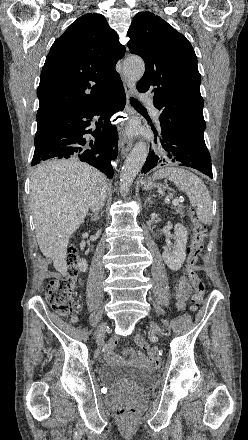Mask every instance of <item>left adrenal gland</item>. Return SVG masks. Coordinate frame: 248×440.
<instances>
[{
	"label": "left adrenal gland",
	"instance_id": "left-adrenal-gland-1",
	"mask_svg": "<svg viewBox=\"0 0 248 440\" xmlns=\"http://www.w3.org/2000/svg\"><path fill=\"white\" fill-rule=\"evenodd\" d=\"M147 203H152L150 197H147V198H146L144 205L146 206Z\"/></svg>",
	"mask_w": 248,
	"mask_h": 440
}]
</instances>
